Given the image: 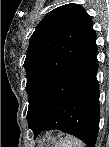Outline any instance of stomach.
I'll use <instances>...</instances> for the list:
<instances>
[{
	"instance_id": "stomach-1",
	"label": "stomach",
	"mask_w": 109,
	"mask_h": 147,
	"mask_svg": "<svg viewBox=\"0 0 109 147\" xmlns=\"http://www.w3.org/2000/svg\"><path fill=\"white\" fill-rule=\"evenodd\" d=\"M62 134H55L53 132H47L42 134L34 142L35 147H61Z\"/></svg>"
}]
</instances>
